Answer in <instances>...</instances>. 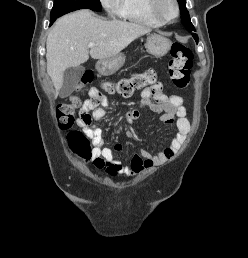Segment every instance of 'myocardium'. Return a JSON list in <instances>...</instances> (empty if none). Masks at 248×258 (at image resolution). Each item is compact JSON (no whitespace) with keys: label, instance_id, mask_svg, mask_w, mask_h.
I'll use <instances>...</instances> for the list:
<instances>
[{"label":"myocardium","instance_id":"1","mask_svg":"<svg viewBox=\"0 0 248 258\" xmlns=\"http://www.w3.org/2000/svg\"><path fill=\"white\" fill-rule=\"evenodd\" d=\"M149 10L150 13L152 14V16L158 20L161 24H169V23H173L174 21H176V19L179 17L180 14V7H179V3L177 0H171V2L174 5V9H175V14L173 17L171 18H167L165 16H163L159 10V3L161 2V0H149Z\"/></svg>","mask_w":248,"mask_h":258}]
</instances>
